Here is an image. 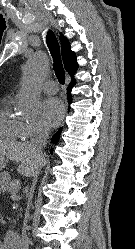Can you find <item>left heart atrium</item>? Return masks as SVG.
<instances>
[{
    "label": "left heart atrium",
    "mask_w": 135,
    "mask_h": 249,
    "mask_svg": "<svg viewBox=\"0 0 135 249\" xmlns=\"http://www.w3.org/2000/svg\"><path fill=\"white\" fill-rule=\"evenodd\" d=\"M65 108L63 102L56 98L46 99L41 106L42 119L48 126H57L64 116Z\"/></svg>",
    "instance_id": "1"
}]
</instances>
